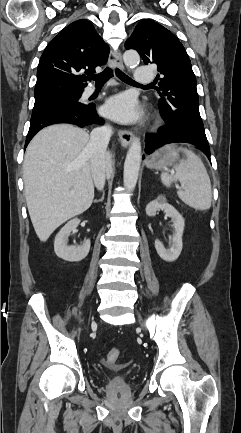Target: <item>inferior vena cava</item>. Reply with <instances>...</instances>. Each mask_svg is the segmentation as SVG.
<instances>
[{
    "instance_id": "inferior-vena-cava-1",
    "label": "inferior vena cava",
    "mask_w": 241,
    "mask_h": 433,
    "mask_svg": "<svg viewBox=\"0 0 241 433\" xmlns=\"http://www.w3.org/2000/svg\"><path fill=\"white\" fill-rule=\"evenodd\" d=\"M112 133L109 125L93 129L86 147L90 154L92 178L98 190H102L105 185L106 149Z\"/></svg>"
}]
</instances>
